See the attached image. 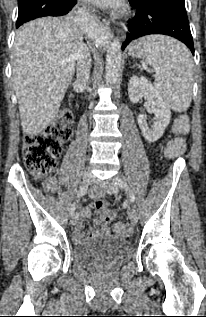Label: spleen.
Wrapping results in <instances>:
<instances>
[{
	"label": "spleen",
	"mask_w": 206,
	"mask_h": 317,
	"mask_svg": "<svg viewBox=\"0 0 206 317\" xmlns=\"http://www.w3.org/2000/svg\"><path fill=\"white\" fill-rule=\"evenodd\" d=\"M129 55L145 58L157 72L154 86L169 108L176 112L189 108L194 69L191 53L182 43L161 35L146 36L131 43Z\"/></svg>",
	"instance_id": "spleen-1"
}]
</instances>
